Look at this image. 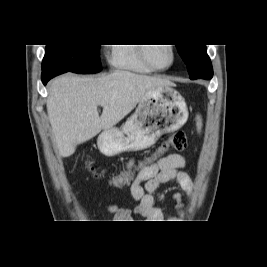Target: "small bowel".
Instances as JSON below:
<instances>
[{"label": "small bowel", "mask_w": 267, "mask_h": 267, "mask_svg": "<svg viewBox=\"0 0 267 267\" xmlns=\"http://www.w3.org/2000/svg\"><path fill=\"white\" fill-rule=\"evenodd\" d=\"M136 166V160L131 159L125 170L135 173V178H133V182H129V185L131 194L138 204L133 209L111 205L109 211L114 214V218L118 222H127L133 215L144 217L150 221L163 220L164 215L159 208L154 206L153 198V193L162 184L176 180L186 193L192 192V180L182 170L185 160L181 155L170 154L150 165L139 166L138 164L137 169ZM173 198L176 201L178 213L183 214L182 194L175 193Z\"/></svg>", "instance_id": "obj_1"}]
</instances>
